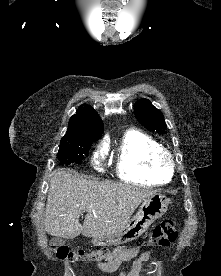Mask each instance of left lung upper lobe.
<instances>
[{"mask_svg":"<svg viewBox=\"0 0 221 276\" xmlns=\"http://www.w3.org/2000/svg\"><path fill=\"white\" fill-rule=\"evenodd\" d=\"M134 113L138 121L149 131L163 134L167 125L162 112L154 107L148 99H141L134 105Z\"/></svg>","mask_w":221,"mask_h":276,"instance_id":"1","label":"left lung upper lobe"}]
</instances>
